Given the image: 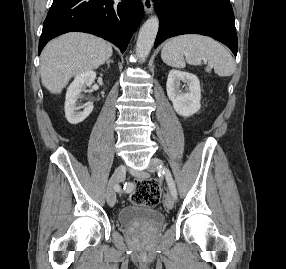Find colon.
I'll return each mask as SVG.
<instances>
[{
  "instance_id": "1",
  "label": "colon",
  "mask_w": 286,
  "mask_h": 269,
  "mask_svg": "<svg viewBox=\"0 0 286 269\" xmlns=\"http://www.w3.org/2000/svg\"><path fill=\"white\" fill-rule=\"evenodd\" d=\"M159 187L155 180L144 179L136 182V190L131 201L137 205L152 207L159 202Z\"/></svg>"
}]
</instances>
